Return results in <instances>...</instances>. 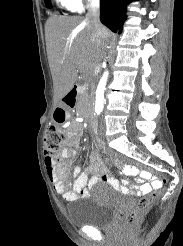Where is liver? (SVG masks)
Instances as JSON below:
<instances>
[{"instance_id":"liver-1","label":"liver","mask_w":183,"mask_h":246,"mask_svg":"<svg viewBox=\"0 0 183 246\" xmlns=\"http://www.w3.org/2000/svg\"><path fill=\"white\" fill-rule=\"evenodd\" d=\"M105 28V27H104ZM98 36L86 19L53 15L45 25L48 62L55 99L60 100L73 88L78 72L92 71L103 56L110 37Z\"/></svg>"}]
</instances>
